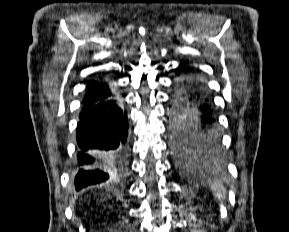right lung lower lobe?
Here are the masks:
<instances>
[{
    "label": "right lung lower lobe",
    "instance_id": "right-lung-lower-lobe-1",
    "mask_svg": "<svg viewBox=\"0 0 289 232\" xmlns=\"http://www.w3.org/2000/svg\"><path fill=\"white\" fill-rule=\"evenodd\" d=\"M77 125L76 189L106 181L127 149L128 120L115 95L84 100Z\"/></svg>",
    "mask_w": 289,
    "mask_h": 232
}]
</instances>
